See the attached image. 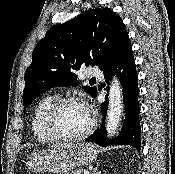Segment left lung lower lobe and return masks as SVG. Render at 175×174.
I'll return each mask as SVG.
<instances>
[{
    "label": "left lung lower lobe",
    "instance_id": "left-lung-lower-lobe-1",
    "mask_svg": "<svg viewBox=\"0 0 175 174\" xmlns=\"http://www.w3.org/2000/svg\"><path fill=\"white\" fill-rule=\"evenodd\" d=\"M105 80L108 83L111 76L117 75L120 77V82L123 88V101L125 105V120L120 134L108 139L105 133L104 120L108 108V95L105 97V102L101 104L103 112V122L100 129L96 130L86 141L95 142L101 146L107 145H131L137 150H141V127L139 121V89L138 75L135 66L134 55L132 52L131 43L126 46L118 59L105 71ZM97 95V93H96ZM96 95L94 97H96Z\"/></svg>",
    "mask_w": 175,
    "mask_h": 174
}]
</instances>
